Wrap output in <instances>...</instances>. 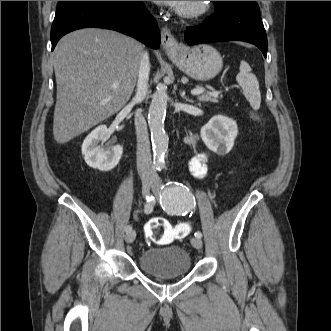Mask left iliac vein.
I'll use <instances>...</instances> for the list:
<instances>
[{"mask_svg":"<svg viewBox=\"0 0 331 331\" xmlns=\"http://www.w3.org/2000/svg\"><path fill=\"white\" fill-rule=\"evenodd\" d=\"M160 188H161V181L159 179H155L152 184L153 192H159ZM191 244L196 249H201L203 246V242H202L201 238H198V237L191 238Z\"/></svg>","mask_w":331,"mask_h":331,"instance_id":"4c4485c4","label":"left iliac vein"}]
</instances>
